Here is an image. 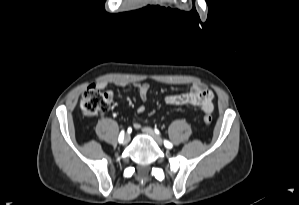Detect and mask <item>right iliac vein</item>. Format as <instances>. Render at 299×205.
Returning a JSON list of instances; mask_svg holds the SVG:
<instances>
[{"label":"right iliac vein","mask_w":299,"mask_h":205,"mask_svg":"<svg viewBox=\"0 0 299 205\" xmlns=\"http://www.w3.org/2000/svg\"><path fill=\"white\" fill-rule=\"evenodd\" d=\"M129 141H130V136H129L128 134H126V135L124 136V138H123L122 143H123V144H127Z\"/></svg>","instance_id":"63e3f726"}]
</instances>
